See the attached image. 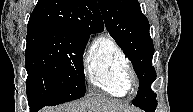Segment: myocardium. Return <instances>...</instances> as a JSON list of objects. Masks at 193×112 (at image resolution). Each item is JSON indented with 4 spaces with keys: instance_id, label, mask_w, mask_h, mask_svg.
<instances>
[{
    "instance_id": "myocardium-1",
    "label": "myocardium",
    "mask_w": 193,
    "mask_h": 112,
    "mask_svg": "<svg viewBox=\"0 0 193 112\" xmlns=\"http://www.w3.org/2000/svg\"><path fill=\"white\" fill-rule=\"evenodd\" d=\"M126 74H127V78H128L130 86H135L137 80H136V76H135L133 70L131 69V67L127 68Z\"/></svg>"
}]
</instances>
